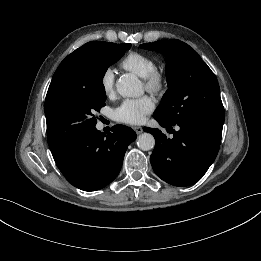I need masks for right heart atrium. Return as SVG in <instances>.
I'll use <instances>...</instances> for the list:
<instances>
[{
    "label": "right heart atrium",
    "mask_w": 261,
    "mask_h": 261,
    "mask_svg": "<svg viewBox=\"0 0 261 261\" xmlns=\"http://www.w3.org/2000/svg\"><path fill=\"white\" fill-rule=\"evenodd\" d=\"M100 85L105 95L113 94L115 87V74L112 68H106L100 77Z\"/></svg>",
    "instance_id": "obj_1"
}]
</instances>
